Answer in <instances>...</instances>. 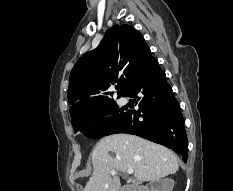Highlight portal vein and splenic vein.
Wrapping results in <instances>:
<instances>
[{"instance_id":"1","label":"portal vein and splenic vein","mask_w":233,"mask_h":191,"mask_svg":"<svg viewBox=\"0 0 233 191\" xmlns=\"http://www.w3.org/2000/svg\"><path fill=\"white\" fill-rule=\"evenodd\" d=\"M127 173H128V174H133V173H134V170H133V169H128V170H127ZM116 174H117V172H116L115 170H112V171H111V175H116Z\"/></svg>"}]
</instances>
